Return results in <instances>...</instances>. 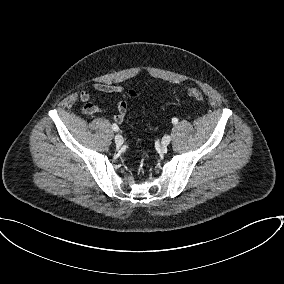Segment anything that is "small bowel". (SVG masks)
<instances>
[{
	"label": "small bowel",
	"instance_id": "obj_1",
	"mask_svg": "<svg viewBox=\"0 0 284 284\" xmlns=\"http://www.w3.org/2000/svg\"><path fill=\"white\" fill-rule=\"evenodd\" d=\"M93 88L96 91L103 92V93H116L121 95L122 99L117 103V112L113 115V120L121 124L125 118L127 112V103L125 101L126 95L124 89L120 86L106 84V83H95ZM80 99L84 103L82 111L86 115H94L100 113L102 110L99 106L92 103L91 100V93L88 90H83L80 93Z\"/></svg>",
	"mask_w": 284,
	"mask_h": 284
}]
</instances>
